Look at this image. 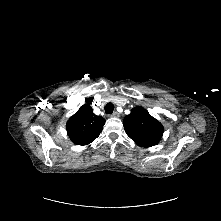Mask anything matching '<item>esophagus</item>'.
<instances>
[{"instance_id": "34e87169", "label": "esophagus", "mask_w": 221, "mask_h": 221, "mask_svg": "<svg viewBox=\"0 0 221 221\" xmlns=\"http://www.w3.org/2000/svg\"><path fill=\"white\" fill-rule=\"evenodd\" d=\"M110 117H119V113L118 112H114L110 115Z\"/></svg>"}]
</instances>
